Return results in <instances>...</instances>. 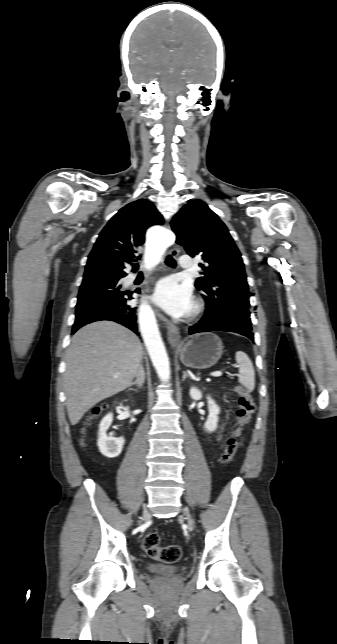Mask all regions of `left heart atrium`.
<instances>
[{
    "label": "left heart atrium",
    "mask_w": 337,
    "mask_h": 644,
    "mask_svg": "<svg viewBox=\"0 0 337 644\" xmlns=\"http://www.w3.org/2000/svg\"><path fill=\"white\" fill-rule=\"evenodd\" d=\"M153 298L161 308L173 316L187 315L193 307L191 288L171 276L157 282Z\"/></svg>",
    "instance_id": "obj_1"
}]
</instances>
